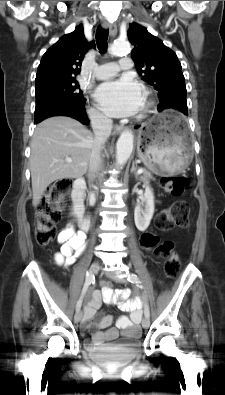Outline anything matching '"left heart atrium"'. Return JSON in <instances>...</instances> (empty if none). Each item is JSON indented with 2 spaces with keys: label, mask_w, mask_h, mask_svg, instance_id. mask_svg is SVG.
Listing matches in <instances>:
<instances>
[{
  "label": "left heart atrium",
  "mask_w": 225,
  "mask_h": 395,
  "mask_svg": "<svg viewBox=\"0 0 225 395\" xmlns=\"http://www.w3.org/2000/svg\"><path fill=\"white\" fill-rule=\"evenodd\" d=\"M94 96L100 107L113 117L136 114L143 100L141 85L128 76L101 84Z\"/></svg>",
  "instance_id": "1"
}]
</instances>
